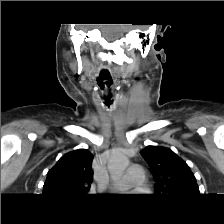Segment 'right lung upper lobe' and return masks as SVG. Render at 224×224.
Segmentation results:
<instances>
[{
  "instance_id": "1",
  "label": "right lung upper lobe",
  "mask_w": 224,
  "mask_h": 224,
  "mask_svg": "<svg viewBox=\"0 0 224 224\" xmlns=\"http://www.w3.org/2000/svg\"><path fill=\"white\" fill-rule=\"evenodd\" d=\"M93 154L78 149L63 155L47 173L43 193L49 195H85L93 179Z\"/></svg>"
}]
</instances>
